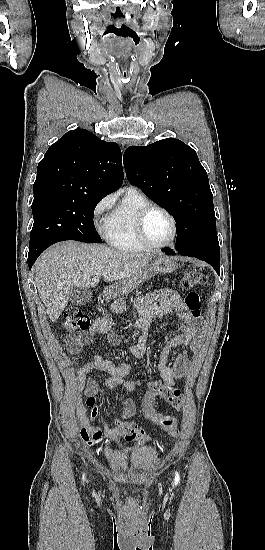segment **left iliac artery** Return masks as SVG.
Returning a JSON list of instances; mask_svg holds the SVG:
<instances>
[{
  "label": "left iliac artery",
  "instance_id": "obj_1",
  "mask_svg": "<svg viewBox=\"0 0 265 550\" xmlns=\"http://www.w3.org/2000/svg\"><path fill=\"white\" fill-rule=\"evenodd\" d=\"M180 480L178 472L175 473V482L178 483Z\"/></svg>",
  "mask_w": 265,
  "mask_h": 550
}]
</instances>
